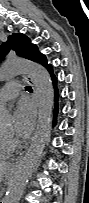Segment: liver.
Returning a JSON list of instances; mask_svg holds the SVG:
<instances>
[{"label": "liver", "mask_w": 89, "mask_h": 203, "mask_svg": "<svg viewBox=\"0 0 89 203\" xmlns=\"http://www.w3.org/2000/svg\"><path fill=\"white\" fill-rule=\"evenodd\" d=\"M9 167H10V164H8L6 162H1L0 163V177H1V180H3V178L7 176Z\"/></svg>", "instance_id": "liver-1"}]
</instances>
